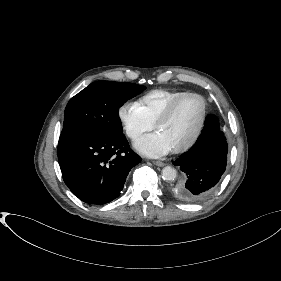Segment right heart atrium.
<instances>
[{
    "label": "right heart atrium",
    "mask_w": 281,
    "mask_h": 281,
    "mask_svg": "<svg viewBox=\"0 0 281 281\" xmlns=\"http://www.w3.org/2000/svg\"><path fill=\"white\" fill-rule=\"evenodd\" d=\"M118 118L123 125L126 135L137 140L152 129V123L147 119L138 103L124 102L118 109Z\"/></svg>",
    "instance_id": "obj_1"
}]
</instances>
